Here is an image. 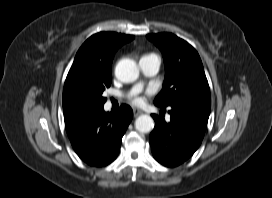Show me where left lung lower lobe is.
<instances>
[{
  "label": "left lung lower lobe",
  "mask_w": 272,
  "mask_h": 198,
  "mask_svg": "<svg viewBox=\"0 0 272 198\" xmlns=\"http://www.w3.org/2000/svg\"><path fill=\"white\" fill-rule=\"evenodd\" d=\"M159 107L165 111L164 106ZM169 108L170 122L152 114L155 127L150 134V145L159 163L174 167L190 158L200 146L210 109L184 104L170 105Z\"/></svg>",
  "instance_id": "1"
}]
</instances>
